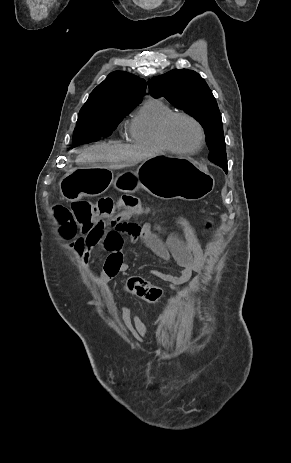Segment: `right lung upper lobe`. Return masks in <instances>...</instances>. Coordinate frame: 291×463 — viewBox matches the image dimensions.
Listing matches in <instances>:
<instances>
[{
	"mask_svg": "<svg viewBox=\"0 0 291 463\" xmlns=\"http://www.w3.org/2000/svg\"><path fill=\"white\" fill-rule=\"evenodd\" d=\"M146 81L124 71L110 73L89 95L81 110L105 105L131 106L140 103Z\"/></svg>",
	"mask_w": 291,
	"mask_h": 463,
	"instance_id": "right-lung-upper-lobe-1",
	"label": "right lung upper lobe"
}]
</instances>
